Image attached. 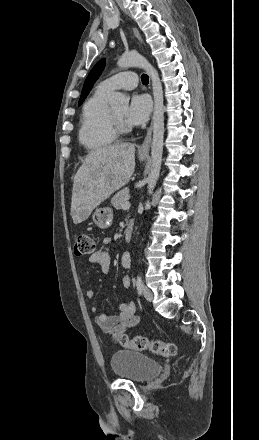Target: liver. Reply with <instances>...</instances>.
Wrapping results in <instances>:
<instances>
[{
  "label": "liver",
  "instance_id": "obj_1",
  "mask_svg": "<svg viewBox=\"0 0 259 440\" xmlns=\"http://www.w3.org/2000/svg\"><path fill=\"white\" fill-rule=\"evenodd\" d=\"M135 168V145L115 144L91 151L73 183L71 216L74 224L85 221L94 208L126 185Z\"/></svg>",
  "mask_w": 259,
  "mask_h": 440
}]
</instances>
